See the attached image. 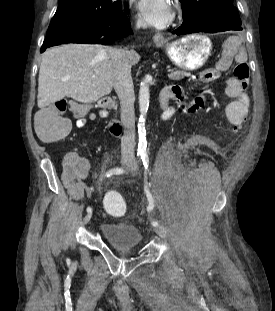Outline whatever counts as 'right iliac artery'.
Returning a JSON list of instances; mask_svg holds the SVG:
<instances>
[{"label":"right iliac artery","instance_id":"right-iliac-artery-1","mask_svg":"<svg viewBox=\"0 0 275 311\" xmlns=\"http://www.w3.org/2000/svg\"><path fill=\"white\" fill-rule=\"evenodd\" d=\"M141 158H142V155H141ZM124 172H125V169H123V168H114V169H110L108 172H106L105 176H106V177H110V176H112V175L123 174ZM87 212H88V213H91V212H92L91 207H88V208H87Z\"/></svg>","mask_w":275,"mask_h":311}]
</instances>
